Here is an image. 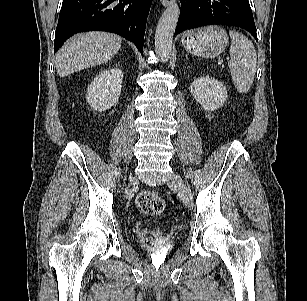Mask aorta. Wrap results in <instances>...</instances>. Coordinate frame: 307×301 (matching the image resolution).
<instances>
[{
  "mask_svg": "<svg viewBox=\"0 0 307 301\" xmlns=\"http://www.w3.org/2000/svg\"><path fill=\"white\" fill-rule=\"evenodd\" d=\"M180 13L179 5L172 0L159 19L155 32V53L164 62L170 57L173 34Z\"/></svg>",
  "mask_w": 307,
  "mask_h": 301,
  "instance_id": "obj_1",
  "label": "aorta"
}]
</instances>
